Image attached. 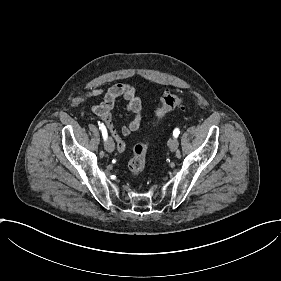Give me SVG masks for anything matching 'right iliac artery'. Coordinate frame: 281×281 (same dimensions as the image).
I'll return each mask as SVG.
<instances>
[{
	"label": "right iliac artery",
	"mask_w": 281,
	"mask_h": 281,
	"mask_svg": "<svg viewBox=\"0 0 281 281\" xmlns=\"http://www.w3.org/2000/svg\"><path fill=\"white\" fill-rule=\"evenodd\" d=\"M98 124H99V129H101V131H102V135H103V138H104V140H106L107 139V130H106V127L104 126V124L102 123V124H100V121L98 122Z\"/></svg>",
	"instance_id": "right-iliac-artery-1"
}]
</instances>
